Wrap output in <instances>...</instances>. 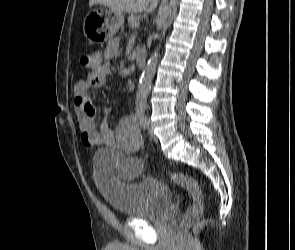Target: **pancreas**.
<instances>
[{"instance_id":"1","label":"pancreas","mask_w":295,"mask_h":250,"mask_svg":"<svg viewBox=\"0 0 295 250\" xmlns=\"http://www.w3.org/2000/svg\"><path fill=\"white\" fill-rule=\"evenodd\" d=\"M137 21H138V18H137L135 15H133V14H131V15L128 17V23H129V25H130L132 28H134V24L137 23Z\"/></svg>"}]
</instances>
